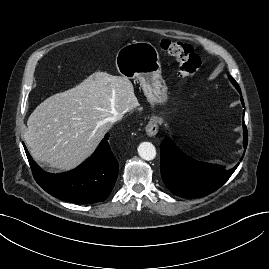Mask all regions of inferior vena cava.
<instances>
[{"label":"inferior vena cava","instance_id":"inferior-vena-cava-1","mask_svg":"<svg viewBox=\"0 0 269 269\" xmlns=\"http://www.w3.org/2000/svg\"><path fill=\"white\" fill-rule=\"evenodd\" d=\"M122 117H123V114H115V115H113V116H111V117L109 118V121H110L111 123H114V122L120 120Z\"/></svg>","mask_w":269,"mask_h":269}]
</instances>
